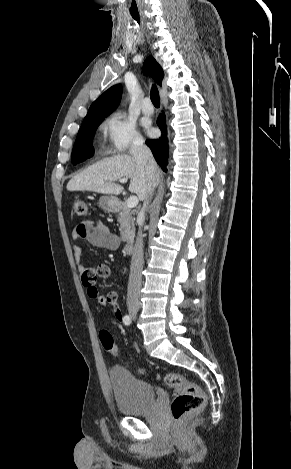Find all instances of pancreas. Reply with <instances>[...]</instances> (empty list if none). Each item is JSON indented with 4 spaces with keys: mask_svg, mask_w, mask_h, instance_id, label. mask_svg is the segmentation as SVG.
<instances>
[{
    "mask_svg": "<svg viewBox=\"0 0 291 469\" xmlns=\"http://www.w3.org/2000/svg\"><path fill=\"white\" fill-rule=\"evenodd\" d=\"M132 215L133 212L130 208L125 203H122L119 208L118 222L120 223L121 239L124 242L132 243L135 236V224Z\"/></svg>",
    "mask_w": 291,
    "mask_h": 469,
    "instance_id": "1",
    "label": "pancreas"
}]
</instances>
